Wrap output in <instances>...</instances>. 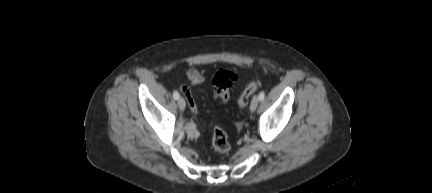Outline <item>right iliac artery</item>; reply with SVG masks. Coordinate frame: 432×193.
I'll return each mask as SVG.
<instances>
[{"label":"right iliac artery","mask_w":432,"mask_h":193,"mask_svg":"<svg viewBox=\"0 0 432 193\" xmlns=\"http://www.w3.org/2000/svg\"><path fill=\"white\" fill-rule=\"evenodd\" d=\"M173 97H174V99L177 100L179 98V93L177 91H174L173 92Z\"/></svg>","instance_id":"82829eb1"}]
</instances>
